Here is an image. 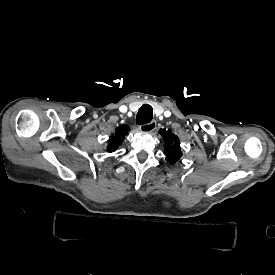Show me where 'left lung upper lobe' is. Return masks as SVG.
<instances>
[{"label":"left lung upper lobe","instance_id":"5c2ea615","mask_svg":"<svg viewBox=\"0 0 275 275\" xmlns=\"http://www.w3.org/2000/svg\"><path fill=\"white\" fill-rule=\"evenodd\" d=\"M160 134L163 136L165 142L164 154L166 155V160L170 164H175L182 156V152L180 150V142L178 137L171 133V130L161 129Z\"/></svg>","mask_w":275,"mask_h":275}]
</instances>
